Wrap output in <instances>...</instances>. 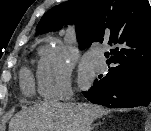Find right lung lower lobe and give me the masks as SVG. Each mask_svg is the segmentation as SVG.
I'll use <instances>...</instances> for the list:
<instances>
[{
  "mask_svg": "<svg viewBox=\"0 0 151 131\" xmlns=\"http://www.w3.org/2000/svg\"><path fill=\"white\" fill-rule=\"evenodd\" d=\"M84 96L110 108L147 106L151 101V67L136 71L109 70Z\"/></svg>",
  "mask_w": 151,
  "mask_h": 131,
  "instance_id": "1",
  "label": "right lung lower lobe"
}]
</instances>
